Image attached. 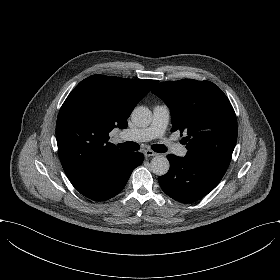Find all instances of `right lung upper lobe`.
Listing matches in <instances>:
<instances>
[{
    "label": "right lung upper lobe",
    "instance_id": "cb5924a9",
    "mask_svg": "<svg viewBox=\"0 0 280 280\" xmlns=\"http://www.w3.org/2000/svg\"><path fill=\"white\" fill-rule=\"evenodd\" d=\"M93 75L81 81L63 103L56 123L58 154L64 172L79 192L128 152L109 143V132L126 128L136 104L157 84Z\"/></svg>",
    "mask_w": 280,
    "mask_h": 280
}]
</instances>
